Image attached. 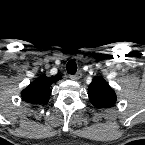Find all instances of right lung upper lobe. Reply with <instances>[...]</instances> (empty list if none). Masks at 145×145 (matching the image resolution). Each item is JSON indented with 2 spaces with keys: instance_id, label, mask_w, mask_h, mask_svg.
Here are the masks:
<instances>
[{
  "instance_id": "1",
  "label": "right lung upper lobe",
  "mask_w": 145,
  "mask_h": 145,
  "mask_svg": "<svg viewBox=\"0 0 145 145\" xmlns=\"http://www.w3.org/2000/svg\"><path fill=\"white\" fill-rule=\"evenodd\" d=\"M60 79V76L38 77L22 91V99L32 104H47L51 94L50 86Z\"/></svg>"
}]
</instances>
